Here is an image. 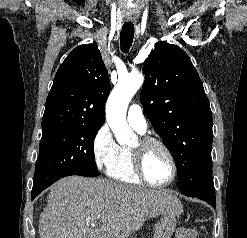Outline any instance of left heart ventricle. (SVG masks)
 <instances>
[{
  "instance_id": "obj_1",
  "label": "left heart ventricle",
  "mask_w": 247,
  "mask_h": 238,
  "mask_svg": "<svg viewBox=\"0 0 247 238\" xmlns=\"http://www.w3.org/2000/svg\"><path fill=\"white\" fill-rule=\"evenodd\" d=\"M144 171L147 178L155 183H162L170 178L171 163L160 147L154 145L148 148L144 157Z\"/></svg>"
}]
</instances>
